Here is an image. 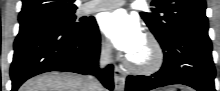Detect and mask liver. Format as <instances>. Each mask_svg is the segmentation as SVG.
<instances>
[{"instance_id": "obj_1", "label": "liver", "mask_w": 220, "mask_h": 91, "mask_svg": "<svg viewBox=\"0 0 220 91\" xmlns=\"http://www.w3.org/2000/svg\"><path fill=\"white\" fill-rule=\"evenodd\" d=\"M19 91H104L93 86L90 76L69 72H51L27 80Z\"/></svg>"}]
</instances>
